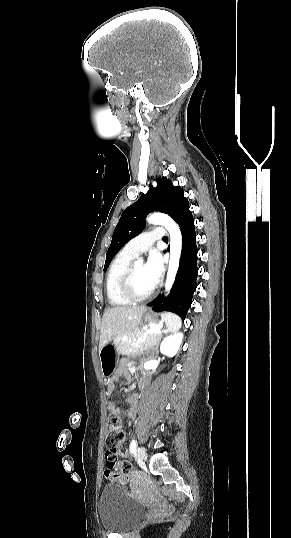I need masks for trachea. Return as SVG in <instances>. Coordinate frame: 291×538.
<instances>
[{
  "instance_id": "obj_1",
  "label": "trachea",
  "mask_w": 291,
  "mask_h": 538,
  "mask_svg": "<svg viewBox=\"0 0 291 538\" xmlns=\"http://www.w3.org/2000/svg\"><path fill=\"white\" fill-rule=\"evenodd\" d=\"M163 240H164V241H167V240H168V237H167V236H165V237L163 238Z\"/></svg>"
}]
</instances>
